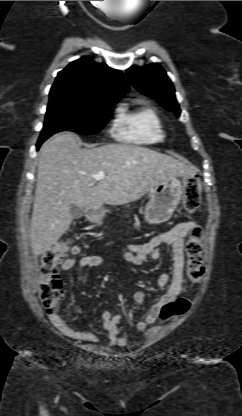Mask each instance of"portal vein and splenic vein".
I'll list each match as a JSON object with an SVG mask.
<instances>
[{
	"label": "portal vein and splenic vein",
	"mask_w": 242,
	"mask_h": 416,
	"mask_svg": "<svg viewBox=\"0 0 242 416\" xmlns=\"http://www.w3.org/2000/svg\"><path fill=\"white\" fill-rule=\"evenodd\" d=\"M93 178H94L95 180H101V179H104V178H105V173H104V172H99V173H97V174L93 175Z\"/></svg>",
	"instance_id": "portal-vein-and-splenic-vein-1"
}]
</instances>
